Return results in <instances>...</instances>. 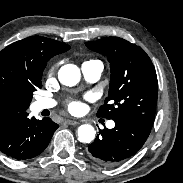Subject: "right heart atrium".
<instances>
[{"mask_svg":"<svg viewBox=\"0 0 183 183\" xmlns=\"http://www.w3.org/2000/svg\"><path fill=\"white\" fill-rule=\"evenodd\" d=\"M54 70H55V67H54V66H52V67L48 70V76H49V77L53 75Z\"/></svg>","mask_w":183,"mask_h":183,"instance_id":"right-heart-atrium-1","label":"right heart atrium"}]
</instances>
